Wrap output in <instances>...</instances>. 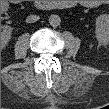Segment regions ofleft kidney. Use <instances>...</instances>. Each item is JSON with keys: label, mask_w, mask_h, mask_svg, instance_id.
Segmentation results:
<instances>
[{"label": "left kidney", "mask_w": 109, "mask_h": 109, "mask_svg": "<svg viewBox=\"0 0 109 109\" xmlns=\"http://www.w3.org/2000/svg\"><path fill=\"white\" fill-rule=\"evenodd\" d=\"M96 38L97 40L105 44L109 39V16L107 14H103L96 18Z\"/></svg>", "instance_id": "obj_1"}]
</instances>
